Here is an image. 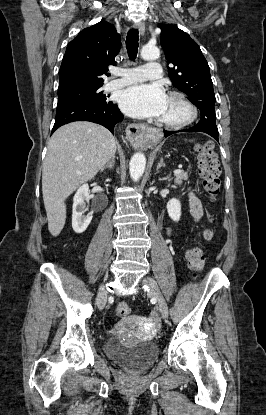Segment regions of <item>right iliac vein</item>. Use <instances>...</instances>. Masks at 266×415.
<instances>
[{
	"instance_id": "63e3f726",
	"label": "right iliac vein",
	"mask_w": 266,
	"mask_h": 415,
	"mask_svg": "<svg viewBox=\"0 0 266 415\" xmlns=\"http://www.w3.org/2000/svg\"><path fill=\"white\" fill-rule=\"evenodd\" d=\"M107 299V291L104 286H102L99 290L98 297H97V304L99 306H103L106 303Z\"/></svg>"
}]
</instances>
